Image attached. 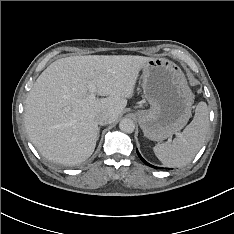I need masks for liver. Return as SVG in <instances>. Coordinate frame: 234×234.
<instances>
[{
    "mask_svg": "<svg viewBox=\"0 0 234 234\" xmlns=\"http://www.w3.org/2000/svg\"><path fill=\"white\" fill-rule=\"evenodd\" d=\"M151 58L87 55L61 58L37 78L24 109L29 139L46 159L74 165L94 152L99 135L96 115L114 122L134 93L141 67ZM106 98L88 99V83Z\"/></svg>",
    "mask_w": 234,
    "mask_h": 234,
    "instance_id": "6515ba94",
    "label": "liver"
}]
</instances>
